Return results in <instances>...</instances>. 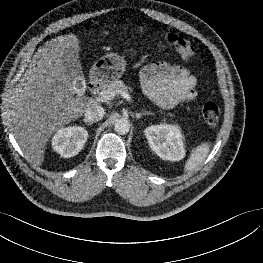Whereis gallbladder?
<instances>
[{
    "instance_id": "1",
    "label": "gallbladder",
    "mask_w": 263,
    "mask_h": 263,
    "mask_svg": "<svg viewBox=\"0 0 263 263\" xmlns=\"http://www.w3.org/2000/svg\"><path fill=\"white\" fill-rule=\"evenodd\" d=\"M63 65L66 68L68 78L72 83L83 77L79 55L73 50H67V53L64 54Z\"/></svg>"
}]
</instances>
